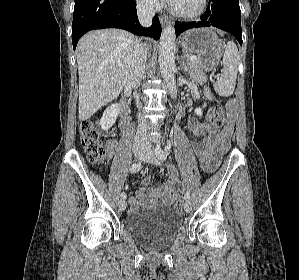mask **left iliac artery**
<instances>
[{
    "label": "left iliac artery",
    "instance_id": "44dca946",
    "mask_svg": "<svg viewBox=\"0 0 299 280\" xmlns=\"http://www.w3.org/2000/svg\"><path fill=\"white\" fill-rule=\"evenodd\" d=\"M169 149H170V145L165 147V151L161 148L160 145H157L155 150H154L156 157L160 160H165L167 158V152H168ZM184 199L186 201H189V199H190V192L189 191H187L185 193Z\"/></svg>",
    "mask_w": 299,
    "mask_h": 280
}]
</instances>
